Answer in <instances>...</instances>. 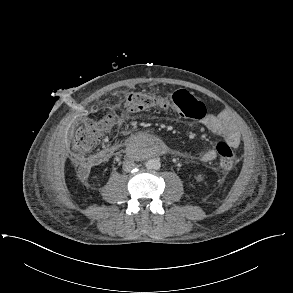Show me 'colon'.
I'll return each instance as SVG.
<instances>
[{"label": "colon", "instance_id": "1", "mask_svg": "<svg viewBox=\"0 0 293 293\" xmlns=\"http://www.w3.org/2000/svg\"><path fill=\"white\" fill-rule=\"evenodd\" d=\"M201 103L189 92L178 90L169 98L160 100L143 91L130 92L124 103V114H134L149 108H170L180 112L186 117H195L196 109ZM112 116L103 121H92L83 124L76 132L74 150L76 154L83 157L84 154L97 145L110 124ZM216 152L219 156L220 166L224 170H231L236 164V157L231 146L226 142H219L216 145Z\"/></svg>", "mask_w": 293, "mask_h": 293}]
</instances>
